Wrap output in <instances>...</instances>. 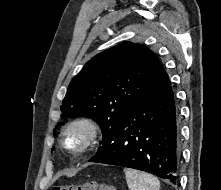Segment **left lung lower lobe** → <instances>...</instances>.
<instances>
[{
  "label": "left lung lower lobe",
  "instance_id": "obj_1",
  "mask_svg": "<svg viewBox=\"0 0 221 190\" xmlns=\"http://www.w3.org/2000/svg\"><path fill=\"white\" fill-rule=\"evenodd\" d=\"M178 111L167 73L104 138L89 162L152 173L175 183L179 152Z\"/></svg>",
  "mask_w": 221,
  "mask_h": 190
}]
</instances>
